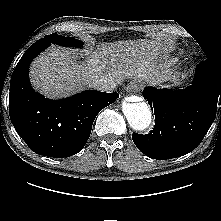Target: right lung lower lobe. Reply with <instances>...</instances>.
<instances>
[{
	"instance_id": "obj_1",
	"label": "right lung lower lobe",
	"mask_w": 221,
	"mask_h": 221,
	"mask_svg": "<svg viewBox=\"0 0 221 221\" xmlns=\"http://www.w3.org/2000/svg\"><path fill=\"white\" fill-rule=\"evenodd\" d=\"M50 45L48 40L36 41L18 62L10 81L9 113L17 133L32 151L64 158L83 149L95 117L119 94L87 90L51 100L35 92L29 82V65Z\"/></svg>"
}]
</instances>
